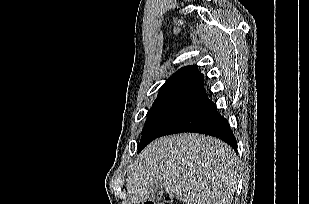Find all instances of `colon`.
<instances>
[{
	"label": "colon",
	"mask_w": 309,
	"mask_h": 204,
	"mask_svg": "<svg viewBox=\"0 0 309 204\" xmlns=\"http://www.w3.org/2000/svg\"><path fill=\"white\" fill-rule=\"evenodd\" d=\"M144 204H172V201L170 199H164L162 201H156V200H147L144 202Z\"/></svg>",
	"instance_id": "5ec220e1"
}]
</instances>
